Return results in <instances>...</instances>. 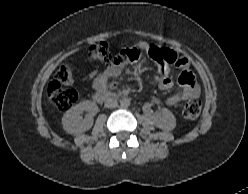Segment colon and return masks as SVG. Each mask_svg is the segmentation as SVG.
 Instances as JSON below:
<instances>
[{"label": "colon", "mask_w": 248, "mask_h": 194, "mask_svg": "<svg viewBox=\"0 0 248 194\" xmlns=\"http://www.w3.org/2000/svg\"><path fill=\"white\" fill-rule=\"evenodd\" d=\"M149 54L159 66L173 63L175 60V53L168 48L153 46L150 48ZM88 56L92 61L102 65H107L112 61L108 45L105 42L92 45L88 50ZM128 57L135 60L138 57V52L131 51ZM73 78V63L69 61L62 63L47 88V99L53 107L59 110H67L77 102L78 94L76 90L66 87V85L72 83ZM201 109V101L198 98H192L184 105L183 116L187 120H194L199 116Z\"/></svg>", "instance_id": "5ec220e1"}]
</instances>
